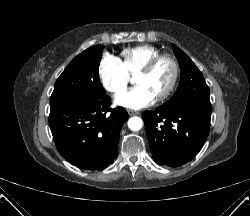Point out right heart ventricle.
<instances>
[{"instance_id": "1", "label": "right heart ventricle", "mask_w": 250, "mask_h": 216, "mask_svg": "<svg viewBox=\"0 0 250 216\" xmlns=\"http://www.w3.org/2000/svg\"><path fill=\"white\" fill-rule=\"evenodd\" d=\"M158 55H160V51L155 47L137 46L124 50L121 62L129 74L136 75L140 69Z\"/></svg>"}]
</instances>
